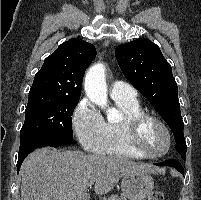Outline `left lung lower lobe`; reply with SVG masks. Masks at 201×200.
Here are the masks:
<instances>
[{
  "mask_svg": "<svg viewBox=\"0 0 201 200\" xmlns=\"http://www.w3.org/2000/svg\"><path fill=\"white\" fill-rule=\"evenodd\" d=\"M155 165L174 167L175 169H177L180 173H182L184 175V169H183L182 165L180 164V162L176 159L166 160V161H163L160 163H156Z\"/></svg>",
  "mask_w": 201,
  "mask_h": 200,
  "instance_id": "left-lung-lower-lobe-1",
  "label": "left lung lower lobe"
}]
</instances>
